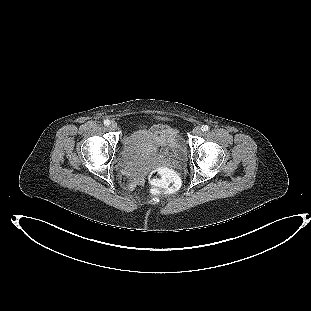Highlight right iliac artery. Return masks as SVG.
Segmentation results:
<instances>
[{
  "label": "right iliac artery",
  "mask_w": 311,
  "mask_h": 311,
  "mask_svg": "<svg viewBox=\"0 0 311 311\" xmlns=\"http://www.w3.org/2000/svg\"><path fill=\"white\" fill-rule=\"evenodd\" d=\"M104 125L105 126H109L110 125V121L107 119V120H104Z\"/></svg>",
  "instance_id": "82829eb1"
}]
</instances>
